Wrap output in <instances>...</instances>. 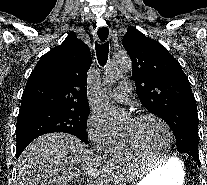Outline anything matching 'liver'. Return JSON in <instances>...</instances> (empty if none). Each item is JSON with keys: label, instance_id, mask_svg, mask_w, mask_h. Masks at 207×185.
I'll return each mask as SVG.
<instances>
[{"label": "liver", "instance_id": "liver-1", "mask_svg": "<svg viewBox=\"0 0 207 185\" xmlns=\"http://www.w3.org/2000/svg\"><path fill=\"white\" fill-rule=\"evenodd\" d=\"M95 155L69 133H47L34 139L18 161L16 185H69L86 177Z\"/></svg>", "mask_w": 207, "mask_h": 185}]
</instances>
